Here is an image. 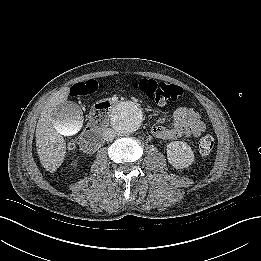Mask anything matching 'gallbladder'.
I'll return each instance as SVG.
<instances>
[{
	"instance_id": "bac80fb5",
	"label": "gallbladder",
	"mask_w": 261,
	"mask_h": 261,
	"mask_svg": "<svg viewBox=\"0 0 261 261\" xmlns=\"http://www.w3.org/2000/svg\"><path fill=\"white\" fill-rule=\"evenodd\" d=\"M84 122V115L80 107L71 101H66L54 110L51 123L53 128L64 136L77 134Z\"/></svg>"
}]
</instances>
